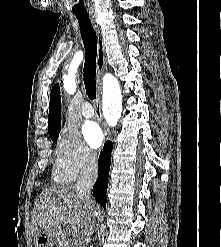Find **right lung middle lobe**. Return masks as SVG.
Returning <instances> with one entry per match:
<instances>
[{"label":"right lung middle lobe","instance_id":"1","mask_svg":"<svg viewBox=\"0 0 221 247\" xmlns=\"http://www.w3.org/2000/svg\"><path fill=\"white\" fill-rule=\"evenodd\" d=\"M57 138H58V137H54V138H51V139H52V141H55Z\"/></svg>","mask_w":221,"mask_h":247}]
</instances>
